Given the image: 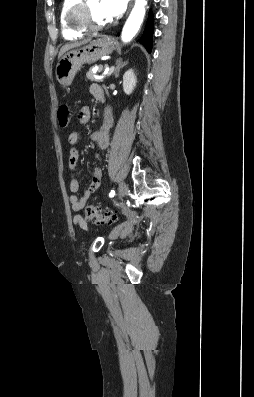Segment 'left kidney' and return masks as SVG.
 Here are the masks:
<instances>
[{
	"label": "left kidney",
	"mask_w": 254,
	"mask_h": 397,
	"mask_svg": "<svg viewBox=\"0 0 254 397\" xmlns=\"http://www.w3.org/2000/svg\"><path fill=\"white\" fill-rule=\"evenodd\" d=\"M136 75L133 69H129L123 75V90L127 95H130L136 86Z\"/></svg>",
	"instance_id": "5707ae66"
}]
</instances>
